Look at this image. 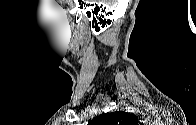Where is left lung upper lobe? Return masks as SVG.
<instances>
[{"mask_svg": "<svg viewBox=\"0 0 196 125\" xmlns=\"http://www.w3.org/2000/svg\"><path fill=\"white\" fill-rule=\"evenodd\" d=\"M94 125H136V119L129 113L117 111L113 113H103L95 118Z\"/></svg>", "mask_w": 196, "mask_h": 125, "instance_id": "5c2ea615", "label": "left lung upper lobe"}]
</instances>
